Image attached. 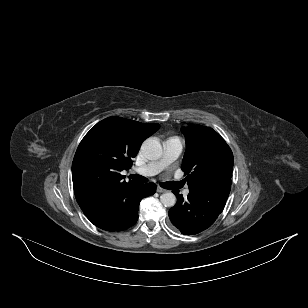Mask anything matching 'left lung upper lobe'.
Instances as JSON below:
<instances>
[{
	"mask_svg": "<svg viewBox=\"0 0 308 308\" xmlns=\"http://www.w3.org/2000/svg\"><path fill=\"white\" fill-rule=\"evenodd\" d=\"M181 131L187 144L181 169L187 175L189 189L221 179H231L233 153L216 131L195 125L182 127Z\"/></svg>",
	"mask_w": 308,
	"mask_h": 308,
	"instance_id": "1",
	"label": "left lung upper lobe"
}]
</instances>
